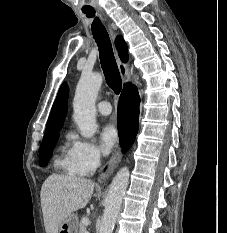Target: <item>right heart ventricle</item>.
Wrapping results in <instances>:
<instances>
[{
  "label": "right heart ventricle",
  "instance_id": "obj_1",
  "mask_svg": "<svg viewBox=\"0 0 227 233\" xmlns=\"http://www.w3.org/2000/svg\"><path fill=\"white\" fill-rule=\"evenodd\" d=\"M56 166L72 175H82L75 167L72 158V148L67 145L62 147V154L55 161Z\"/></svg>",
  "mask_w": 227,
  "mask_h": 233
}]
</instances>
